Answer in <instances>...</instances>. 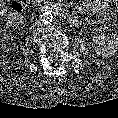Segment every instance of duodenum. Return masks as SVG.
Returning <instances> with one entry per match:
<instances>
[{
	"instance_id": "duodenum-1",
	"label": "duodenum",
	"mask_w": 118,
	"mask_h": 118,
	"mask_svg": "<svg viewBox=\"0 0 118 118\" xmlns=\"http://www.w3.org/2000/svg\"><path fill=\"white\" fill-rule=\"evenodd\" d=\"M39 7L42 11L57 13L64 20H66L68 23H70L73 26H79L81 24V20L77 15H75L69 9L65 8L59 3L47 2L41 4Z\"/></svg>"
}]
</instances>
